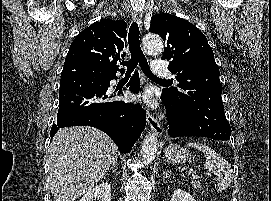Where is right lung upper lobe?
I'll use <instances>...</instances> for the list:
<instances>
[{"mask_svg": "<svg viewBox=\"0 0 271 201\" xmlns=\"http://www.w3.org/2000/svg\"><path fill=\"white\" fill-rule=\"evenodd\" d=\"M126 27L125 21L107 18L93 23L73 40L64 65L82 62L107 72L124 71L117 61L122 56Z\"/></svg>", "mask_w": 271, "mask_h": 201, "instance_id": "right-lung-upper-lobe-1", "label": "right lung upper lobe"}]
</instances>
